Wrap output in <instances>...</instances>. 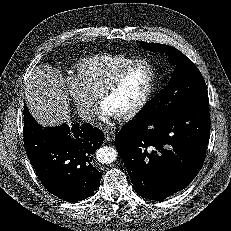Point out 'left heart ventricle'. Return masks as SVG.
Segmentation results:
<instances>
[{
    "mask_svg": "<svg viewBox=\"0 0 231 231\" xmlns=\"http://www.w3.org/2000/svg\"><path fill=\"white\" fill-rule=\"evenodd\" d=\"M151 81V70L141 64L133 68L123 79L117 89L104 101L115 116H119L132 109L143 97Z\"/></svg>",
    "mask_w": 231,
    "mask_h": 231,
    "instance_id": "left-heart-ventricle-1",
    "label": "left heart ventricle"
}]
</instances>
